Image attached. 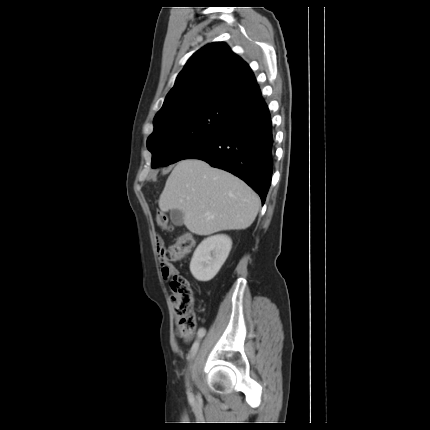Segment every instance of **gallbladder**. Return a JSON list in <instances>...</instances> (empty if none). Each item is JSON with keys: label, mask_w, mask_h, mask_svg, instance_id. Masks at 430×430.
Instances as JSON below:
<instances>
[{"label": "gallbladder", "mask_w": 430, "mask_h": 430, "mask_svg": "<svg viewBox=\"0 0 430 430\" xmlns=\"http://www.w3.org/2000/svg\"><path fill=\"white\" fill-rule=\"evenodd\" d=\"M183 217H184L183 213L180 210L173 209L170 212V219L175 226H182L183 225V221H184Z\"/></svg>", "instance_id": "1"}]
</instances>
